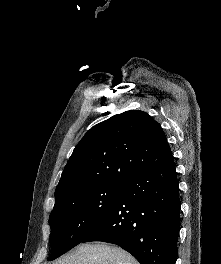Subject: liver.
Here are the masks:
<instances>
[{
	"mask_svg": "<svg viewBox=\"0 0 221 264\" xmlns=\"http://www.w3.org/2000/svg\"><path fill=\"white\" fill-rule=\"evenodd\" d=\"M53 264H139L123 249L106 244H83Z\"/></svg>",
	"mask_w": 221,
	"mask_h": 264,
	"instance_id": "6515ba94",
	"label": "liver"
}]
</instances>
